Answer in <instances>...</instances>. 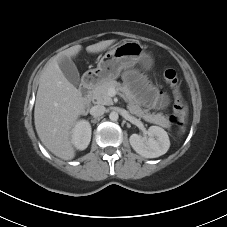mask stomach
I'll return each mask as SVG.
<instances>
[{"label":"stomach","instance_id":"1","mask_svg":"<svg viewBox=\"0 0 227 227\" xmlns=\"http://www.w3.org/2000/svg\"><path fill=\"white\" fill-rule=\"evenodd\" d=\"M137 63L148 71L153 66V59L140 43L125 41L107 51L99 60L97 67L88 70L85 76L91 83L100 84L118 78L123 69Z\"/></svg>","mask_w":227,"mask_h":227}]
</instances>
